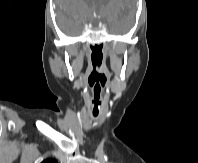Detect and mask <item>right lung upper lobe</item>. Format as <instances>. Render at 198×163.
I'll list each match as a JSON object with an SVG mask.
<instances>
[{
  "label": "right lung upper lobe",
  "instance_id": "cb5924a9",
  "mask_svg": "<svg viewBox=\"0 0 198 163\" xmlns=\"http://www.w3.org/2000/svg\"><path fill=\"white\" fill-rule=\"evenodd\" d=\"M41 163H58V162H57V160H55V159H46V160H44V161L41 162Z\"/></svg>",
  "mask_w": 198,
  "mask_h": 163
}]
</instances>
